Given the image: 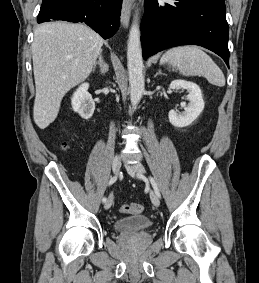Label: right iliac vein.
<instances>
[{
    "label": "right iliac vein",
    "instance_id": "1",
    "mask_svg": "<svg viewBox=\"0 0 259 283\" xmlns=\"http://www.w3.org/2000/svg\"><path fill=\"white\" fill-rule=\"evenodd\" d=\"M120 168H121L120 157L119 156H115L114 159H113V162H112V169H113L114 174L117 175L119 173V171H120ZM112 203H113V196L110 195L108 200L105 203V206H104L105 209H109L112 206Z\"/></svg>",
    "mask_w": 259,
    "mask_h": 283
}]
</instances>
